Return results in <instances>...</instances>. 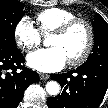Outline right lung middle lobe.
I'll use <instances>...</instances> for the list:
<instances>
[{"label":"right lung middle lobe","mask_w":108,"mask_h":108,"mask_svg":"<svg viewBox=\"0 0 108 108\" xmlns=\"http://www.w3.org/2000/svg\"><path fill=\"white\" fill-rule=\"evenodd\" d=\"M24 4L16 0H0V45L16 47L15 28L23 17Z\"/></svg>","instance_id":"dd1d6c3e"}]
</instances>
